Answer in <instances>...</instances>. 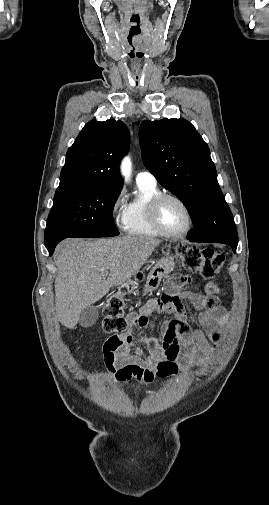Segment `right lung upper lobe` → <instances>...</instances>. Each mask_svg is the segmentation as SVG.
<instances>
[{
    "label": "right lung upper lobe",
    "mask_w": 269,
    "mask_h": 505,
    "mask_svg": "<svg viewBox=\"0 0 269 505\" xmlns=\"http://www.w3.org/2000/svg\"><path fill=\"white\" fill-rule=\"evenodd\" d=\"M129 144V131L122 121L91 120L67 151L58 188L99 186L122 189L118 165Z\"/></svg>",
    "instance_id": "obj_1"
}]
</instances>
